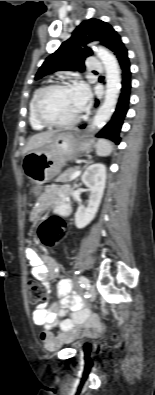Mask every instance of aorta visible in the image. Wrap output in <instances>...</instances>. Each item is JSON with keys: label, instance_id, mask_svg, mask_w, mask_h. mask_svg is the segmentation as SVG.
<instances>
[{"label": "aorta", "instance_id": "obj_1", "mask_svg": "<svg viewBox=\"0 0 155 395\" xmlns=\"http://www.w3.org/2000/svg\"><path fill=\"white\" fill-rule=\"evenodd\" d=\"M106 71V91L103 104L97 110L90 130L102 127L112 116L121 89L120 68L117 59L107 49H95Z\"/></svg>", "mask_w": 155, "mask_h": 395}]
</instances>
